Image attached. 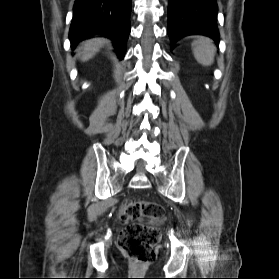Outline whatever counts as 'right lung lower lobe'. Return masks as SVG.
Returning <instances> with one entry per match:
<instances>
[{
  "label": "right lung lower lobe",
  "mask_w": 279,
  "mask_h": 279,
  "mask_svg": "<svg viewBox=\"0 0 279 279\" xmlns=\"http://www.w3.org/2000/svg\"><path fill=\"white\" fill-rule=\"evenodd\" d=\"M131 0H75L69 39L74 47L93 34H103L114 42L119 59L126 52L130 33Z\"/></svg>",
  "instance_id": "1"
}]
</instances>
